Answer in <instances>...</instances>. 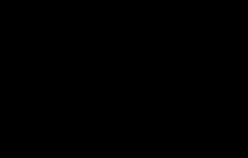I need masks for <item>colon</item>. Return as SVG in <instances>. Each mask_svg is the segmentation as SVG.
I'll return each mask as SVG.
<instances>
[{"mask_svg":"<svg viewBox=\"0 0 248 158\" xmlns=\"http://www.w3.org/2000/svg\"><path fill=\"white\" fill-rule=\"evenodd\" d=\"M108 55H109V57H111V55H112L111 51H109Z\"/></svg>","mask_w":248,"mask_h":158,"instance_id":"5ec220e1","label":"colon"}]
</instances>
